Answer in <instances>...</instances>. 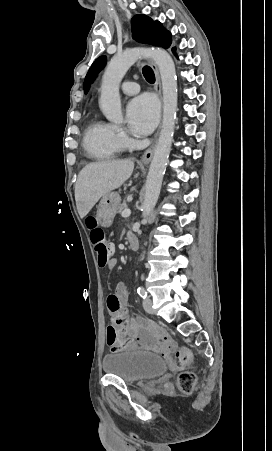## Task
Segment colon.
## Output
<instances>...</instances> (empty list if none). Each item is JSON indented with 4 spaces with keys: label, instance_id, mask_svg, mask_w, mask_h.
I'll list each match as a JSON object with an SVG mask.
<instances>
[{
    "label": "colon",
    "instance_id": "colon-1",
    "mask_svg": "<svg viewBox=\"0 0 272 451\" xmlns=\"http://www.w3.org/2000/svg\"><path fill=\"white\" fill-rule=\"evenodd\" d=\"M95 225V217H89L87 219V226L91 228L90 239L97 253V264L99 266H105L111 257L112 242L106 241L104 231L100 228H94ZM106 332V348H113V351H120L122 348H127V339H118L116 325L107 326ZM130 348L136 351L139 345L133 342ZM165 349L171 354V366L176 367L179 371L176 385L185 393H191L196 384L195 374L184 369V367L188 363V360L193 357L192 350H181L180 345H177L176 342H166Z\"/></svg>",
    "mask_w": 272,
    "mask_h": 451
}]
</instances>
